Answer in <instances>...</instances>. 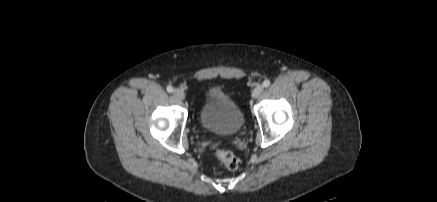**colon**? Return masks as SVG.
I'll return each instance as SVG.
<instances>
[{
  "label": "colon",
  "instance_id": "5ec220e1",
  "mask_svg": "<svg viewBox=\"0 0 437 202\" xmlns=\"http://www.w3.org/2000/svg\"><path fill=\"white\" fill-rule=\"evenodd\" d=\"M211 149L215 152L217 157L221 160V162L228 170L234 171L238 169L239 167L238 158L232 151L221 148L220 142L213 143L211 145Z\"/></svg>",
  "mask_w": 437,
  "mask_h": 202
}]
</instances>
